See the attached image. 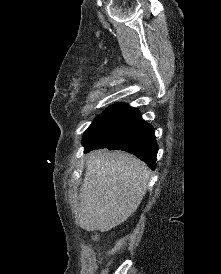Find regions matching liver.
Here are the masks:
<instances>
[{
	"mask_svg": "<svg viewBox=\"0 0 221 274\" xmlns=\"http://www.w3.org/2000/svg\"><path fill=\"white\" fill-rule=\"evenodd\" d=\"M150 175L142 161L126 152H91L75 210L78 224L87 231H108L126 221L145 196Z\"/></svg>",
	"mask_w": 221,
	"mask_h": 274,
	"instance_id": "1",
	"label": "liver"
}]
</instances>
